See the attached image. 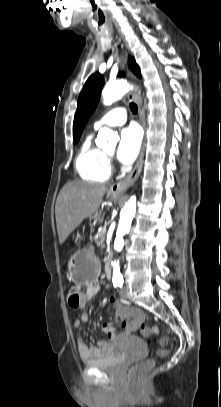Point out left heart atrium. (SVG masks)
<instances>
[{"mask_svg":"<svg viewBox=\"0 0 221 407\" xmlns=\"http://www.w3.org/2000/svg\"><path fill=\"white\" fill-rule=\"evenodd\" d=\"M141 145V133L135 126L121 131L117 158L123 164L132 163L138 156Z\"/></svg>","mask_w":221,"mask_h":407,"instance_id":"1","label":"left heart atrium"}]
</instances>
